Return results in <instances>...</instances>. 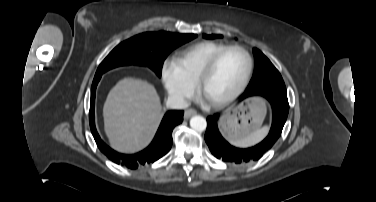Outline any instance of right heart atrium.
<instances>
[{
	"instance_id": "right-heart-atrium-1",
	"label": "right heart atrium",
	"mask_w": 376,
	"mask_h": 202,
	"mask_svg": "<svg viewBox=\"0 0 376 202\" xmlns=\"http://www.w3.org/2000/svg\"><path fill=\"white\" fill-rule=\"evenodd\" d=\"M161 79L167 95L177 104L186 103L195 94V85L185 78L174 59L163 61Z\"/></svg>"
}]
</instances>
